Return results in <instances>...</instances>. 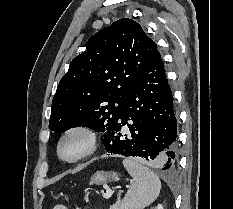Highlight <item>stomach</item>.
I'll use <instances>...</instances> for the list:
<instances>
[{
	"mask_svg": "<svg viewBox=\"0 0 233 209\" xmlns=\"http://www.w3.org/2000/svg\"><path fill=\"white\" fill-rule=\"evenodd\" d=\"M117 174L115 172L97 171L92 175L90 183L101 185L107 182L117 180Z\"/></svg>",
	"mask_w": 233,
	"mask_h": 209,
	"instance_id": "1",
	"label": "stomach"
}]
</instances>
